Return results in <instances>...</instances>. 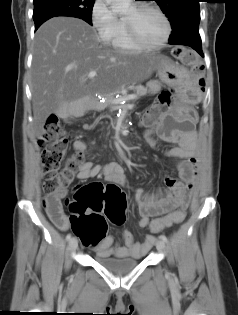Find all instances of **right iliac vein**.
I'll return each instance as SVG.
<instances>
[{"label":"right iliac vein","instance_id":"right-iliac-vein-1","mask_svg":"<svg viewBox=\"0 0 238 315\" xmlns=\"http://www.w3.org/2000/svg\"><path fill=\"white\" fill-rule=\"evenodd\" d=\"M69 244H70V249L72 251H75L77 249V247H78V241H77L76 238L70 239V243Z\"/></svg>","mask_w":238,"mask_h":315}]
</instances>
